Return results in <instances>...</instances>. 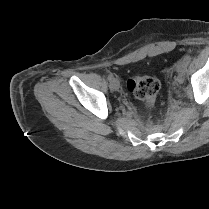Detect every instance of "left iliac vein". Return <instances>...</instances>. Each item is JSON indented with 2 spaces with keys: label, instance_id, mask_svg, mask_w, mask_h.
Here are the masks:
<instances>
[{
  "label": "left iliac vein",
  "instance_id": "obj_1",
  "mask_svg": "<svg viewBox=\"0 0 209 209\" xmlns=\"http://www.w3.org/2000/svg\"><path fill=\"white\" fill-rule=\"evenodd\" d=\"M187 63L184 60H180L176 65V71L179 74V82H182L181 78L186 70Z\"/></svg>",
  "mask_w": 209,
  "mask_h": 209
}]
</instances>
